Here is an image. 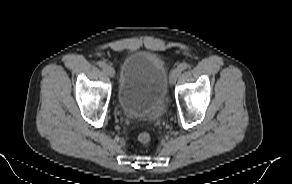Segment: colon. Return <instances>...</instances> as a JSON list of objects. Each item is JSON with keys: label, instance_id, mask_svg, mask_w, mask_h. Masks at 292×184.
<instances>
[{"label": "colon", "instance_id": "1", "mask_svg": "<svg viewBox=\"0 0 292 184\" xmlns=\"http://www.w3.org/2000/svg\"><path fill=\"white\" fill-rule=\"evenodd\" d=\"M138 141L143 144V145H147L150 143L151 141V135L148 132H141L138 134Z\"/></svg>", "mask_w": 292, "mask_h": 184}]
</instances>
